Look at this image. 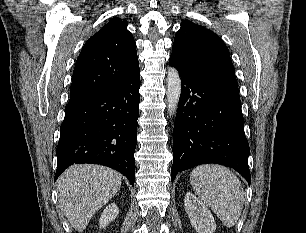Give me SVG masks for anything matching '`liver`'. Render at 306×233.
Masks as SVG:
<instances>
[{"instance_id":"obj_1","label":"liver","mask_w":306,"mask_h":233,"mask_svg":"<svg viewBox=\"0 0 306 233\" xmlns=\"http://www.w3.org/2000/svg\"><path fill=\"white\" fill-rule=\"evenodd\" d=\"M121 175L104 166L79 164L58 180L59 208L78 232L120 190Z\"/></svg>"}]
</instances>
